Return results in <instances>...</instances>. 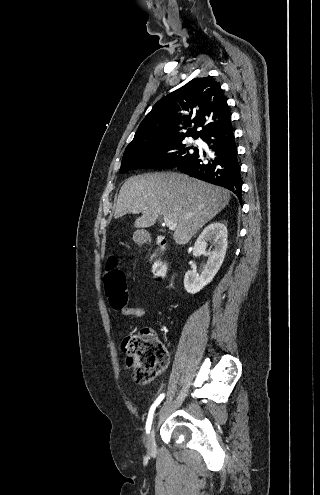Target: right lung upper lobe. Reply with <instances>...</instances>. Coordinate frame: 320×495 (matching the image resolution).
<instances>
[{
  "instance_id": "1",
  "label": "right lung upper lobe",
  "mask_w": 320,
  "mask_h": 495,
  "mask_svg": "<svg viewBox=\"0 0 320 495\" xmlns=\"http://www.w3.org/2000/svg\"><path fill=\"white\" fill-rule=\"evenodd\" d=\"M230 116L220 84L210 76L195 78L153 106L126 150L146 144L179 141L188 136L196 139Z\"/></svg>"
}]
</instances>
